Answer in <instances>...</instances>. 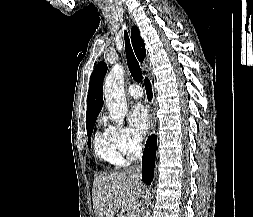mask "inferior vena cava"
I'll return each mask as SVG.
<instances>
[{
	"instance_id": "obj_1",
	"label": "inferior vena cava",
	"mask_w": 253,
	"mask_h": 217,
	"mask_svg": "<svg viewBox=\"0 0 253 217\" xmlns=\"http://www.w3.org/2000/svg\"><path fill=\"white\" fill-rule=\"evenodd\" d=\"M135 155L137 165L132 166L126 170V172L134 179H140L141 177V161H142V139L136 140Z\"/></svg>"
}]
</instances>
